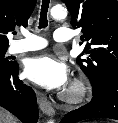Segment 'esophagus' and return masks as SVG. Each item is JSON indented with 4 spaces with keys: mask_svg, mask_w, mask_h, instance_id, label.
Masks as SVG:
<instances>
[{
    "mask_svg": "<svg viewBox=\"0 0 118 123\" xmlns=\"http://www.w3.org/2000/svg\"><path fill=\"white\" fill-rule=\"evenodd\" d=\"M38 103L42 112L48 116L54 115V108L43 93H38Z\"/></svg>",
    "mask_w": 118,
    "mask_h": 123,
    "instance_id": "1",
    "label": "esophagus"
}]
</instances>
